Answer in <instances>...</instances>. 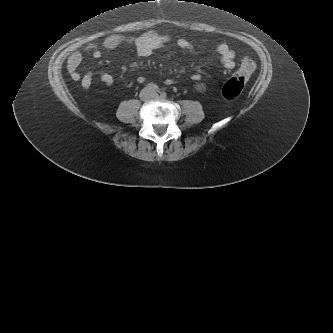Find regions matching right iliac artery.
<instances>
[{"label": "right iliac artery", "mask_w": 333, "mask_h": 333, "mask_svg": "<svg viewBox=\"0 0 333 333\" xmlns=\"http://www.w3.org/2000/svg\"><path fill=\"white\" fill-rule=\"evenodd\" d=\"M145 89L151 92H159L158 86L152 83L148 84Z\"/></svg>", "instance_id": "right-iliac-artery-1"}]
</instances>
